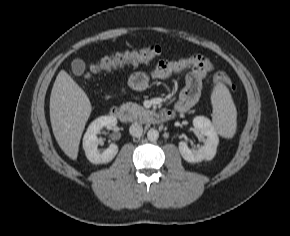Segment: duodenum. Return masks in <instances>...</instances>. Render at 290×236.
I'll use <instances>...</instances> for the list:
<instances>
[{
  "instance_id": "obj_1",
  "label": "duodenum",
  "mask_w": 290,
  "mask_h": 236,
  "mask_svg": "<svg viewBox=\"0 0 290 236\" xmlns=\"http://www.w3.org/2000/svg\"><path fill=\"white\" fill-rule=\"evenodd\" d=\"M177 112H180V111L164 110L160 112H154L149 116V120L157 124L165 123L171 120ZM110 114L114 118L118 119L119 121L123 123H130L133 121V117L131 116V114H129L126 110H124L123 108L119 106H113L110 109Z\"/></svg>"
}]
</instances>
